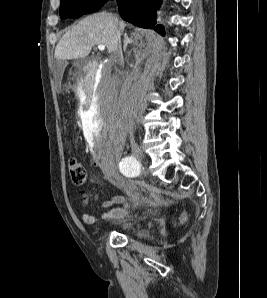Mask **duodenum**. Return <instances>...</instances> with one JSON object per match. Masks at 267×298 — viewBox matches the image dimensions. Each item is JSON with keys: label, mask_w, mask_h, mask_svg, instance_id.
Here are the masks:
<instances>
[{"label": "duodenum", "mask_w": 267, "mask_h": 298, "mask_svg": "<svg viewBox=\"0 0 267 298\" xmlns=\"http://www.w3.org/2000/svg\"><path fill=\"white\" fill-rule=\"evenodd\" d=\"M95 66V63L89 64L85 67V71H83V85L84 87L81 90L82 96L87 99L83 101V112H92L94 97L93 93L94 89H96L98 85V67Z\"/></svg>", "instance_id": "410a0bca"}]
</instances>
